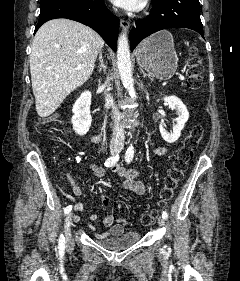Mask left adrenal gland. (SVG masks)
Instances as JSON below:
<instances>
[{"mask_svg":"<svg viewBox=\"0 0 240 281\" xmlns=\"http://www.w3.org/2000/svg\"><path fill=\"white\" fill-rule=\"evenodd\" d=\"M141 72L143 73V77H148L150 79V81L154 80L150 75H147L142 69H141Z\"/></svg>","mask_w":240,"mask_h":281,"instance_id":"obj_1","label":"left adrenal gland"}]
</instances>
